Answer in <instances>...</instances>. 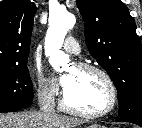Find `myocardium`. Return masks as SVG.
I'll return each instance as SVG.
<instances>
[{
    "label": "myocardium",
    "mask_w": 142,
    "mask_h": 128,
    "mask_svg": "<svg viewBox=\"0 0 142 128\" xmlns=\"http://www.w3.org/2000/svg\"><path fill=\"white\" fill-rule=\"evenodd\" d=\"M75 67L81 71L96 72V73L100 74L105 79V81L109 87V90H110V96H111L110 103L102 111H98V112L83 111V110L77 109L75 107H72L71 105H69L67 103L65 90H63V93H62L60 101H59L60 107L68 113H71V114H74V115H77L80 117H84V118H100V117H104V116L110 114L115 109V107L118 103V91H117L116 85H115L112 77L110 76V74L102 67H100L98 65H94V64L78 63V64H76Z\"/></svg>",
    "instance_id": "obj_1"
}]
</instances>
